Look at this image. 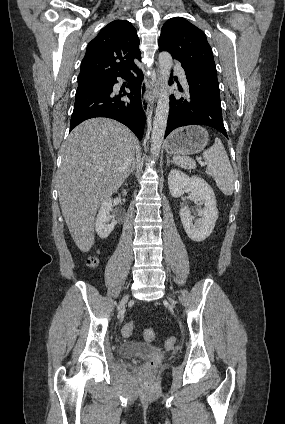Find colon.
I'll return each mask as SVG.
<instances>
[{
  "instance_id": "5ec220e1",
  "label": "colon",
  "mask_w": 285,
  "mask_h": 424,
  "mask_svg": "<svg viewBox=\"0 0 285 424\" xmlns=\"http://www.w3.org/2000/svg\"><path fill=\"white\" fill-rule=\"evenodd\" d=\"M97 264H98V259L96 257H91L87 261V265L89 267H96ZM133 331H134V323L128 322L124 325L122 333L124 336H130L132 335ZM143 337L146 341H152L155 337L154 330L152 328H146L143 331ZM175 341L176 340L174 337H169L166 343L168 346H173L175 344Z\"/></svg>"
}]
</instances>
